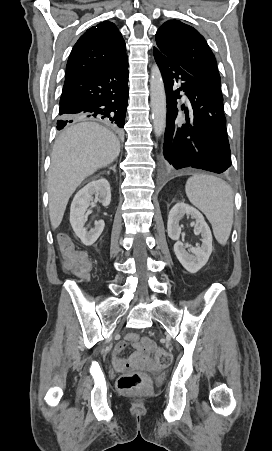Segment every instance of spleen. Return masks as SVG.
<instances>
[{"label": "spleen", "mask_w": 272, "mask_h": 451, "mask_svg": "<svg viewBox=\"0 0 272 451\" xmlns=\"http://www.w3.org/2000/svg\"><path fill=\"white\" fill-rule=\"evenodd\" d=\"M185 192L191 204L199 208L212 224L217 241L225 245L234 216L230 186L215 176L195 174L187 180Z\"/></svg>", "instance_id": "1"}]
</instances>
